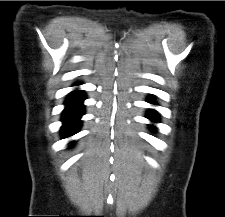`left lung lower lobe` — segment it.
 Returning <instances> with one entry per match:
<instances>
[{"mask_svg":"<svg viewBox=\"0 0 225 217\" xmlns=\"http://www.w3.org/2000/svg\"><path fill=\"white\" fill-rule=\"evenodd\" d=\"M149 103H152V104H155L154 101H153V98H149ZM147 118L152 120V121H156L158 122V118L156 116V113L154 110H150L149 113L147 114Z\"/></svg>","mask_w":225,"mask_h":217,"instance_id":"obj_1","label":"left lung lower lobe"}]
</instances>
